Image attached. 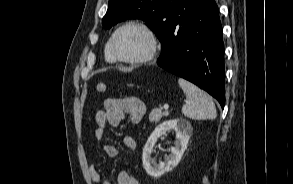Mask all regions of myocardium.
<instances>
[{
  "mask_svg": "<svg viewBox=\"0 0 293 184\" xmlns=\"http://www.w3.org/2000/svg\"><path fill=\"white\" fill-rule=\"evenodd\" d=\"M130 27H135L138 29H141L149 38V49L148 51L139 57L136 58H125L120 56L115 49V40L116 37L118 36V34L126 29V28H130ZM109 48H110V52L113 56V58L116 61L122 62V63H127V64H142V63H146L151 61L152 59H154L159 51L160 48V43L158 40V37L156 35V33L154 32V30L146 23L141 22V21H130L127 22L123 25H121L120 27H118L115 32L112 34L110 41H109Z\"/></svg>",
  "mask_w": 293,
  "mask_h": 184,
  "instance_id": "f54148a6",
  "label": "myocardium"
}]
</instances>
